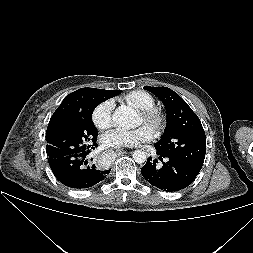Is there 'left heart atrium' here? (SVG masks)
Segmentation results:
<instances>
[{"label":"left heart atrium","instance_id":"39dd6f15","mask_svg":"<svg viewBox=\"0 0 253 253\" xmlns=\"http://www.w3.org/2000/svg\"><path fill=\"white\" fill-rule=\"evenodd\" d=\"M152 138L153 130L147 125H142L131 130L120 128L111 130L102 136V143L107 147H133Z\"/></svg>","mask_w":253,"mask_h":253}]
</instances>
